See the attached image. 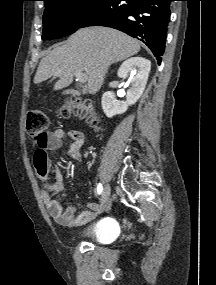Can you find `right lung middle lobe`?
<instances>
[{
    "mask_svg": "<svg viewBox=\"0 0 216 285\" xmlns=\"http://www.w3.org/2000/svg\"><path fill=\"white\" fill-rule=\"evenodd\" d=\"M105 0H50L45 3L42 39L74 33Z\"/></svg>",
    "mask_w": 216,
    "mask_h": 285,
    "instance_id": "1",
    "label": "right lung middle lobe"
}]
</instances>
